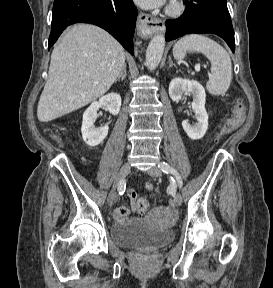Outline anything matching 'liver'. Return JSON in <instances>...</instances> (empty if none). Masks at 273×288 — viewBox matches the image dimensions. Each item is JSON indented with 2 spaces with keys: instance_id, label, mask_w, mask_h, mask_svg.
<instances>
[{
  "instance_id": "6515ba94",
  "label": "liver",
  "mask_w": 273,
  "mask_h": 288,
  "mask_svg": "<svg viewBox=\"0 0 273 288\" xmlns=\"http://www.w3.org/2000/svg\"><path fill=\"white\" fill-rule=\"evenodd\" d=\"M124 65L123 47L105 30L88 24L69 27L52 51L49 77L37 106L38 120H55L97 100Z\"/></svg>"
}]
</instances>
